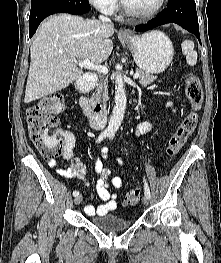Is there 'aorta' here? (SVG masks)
<instances>
[{
  "label": "aorta",
  "mask_w": 221,
  "mask_h": 263,
  "mask_svg": "<svg viewBox=\"0 0 221 263\" xmlns=\"http://www.w3.org/2000/svg\"><path fill=\"white\" fill-rule=\"evenodd\" d=\"M126 103L127 98L123 77L121 73L118 72L115 80V106L106 129L107 134L114 135L119 129L124 118Z\"/></svg>",
  "instance_id": "obj_1"
}]
</instances>
